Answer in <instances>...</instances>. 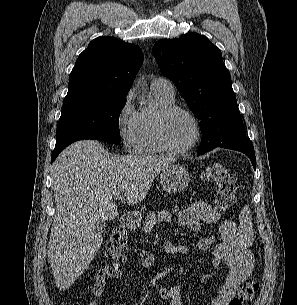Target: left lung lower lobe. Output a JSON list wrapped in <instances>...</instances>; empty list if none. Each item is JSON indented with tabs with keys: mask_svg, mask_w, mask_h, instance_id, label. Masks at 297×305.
Returning <instances> with one entry per match:
<instances>
[{
	"mask_svg": "<svg viewBox=\"0 0 297 305\" xmlns=\"http://www.w3.org/2000/svg\"><path fill=\"white\" fill-rule=\"evenodd\" d=\"M216 147L232 149V150L240 151V152L246 154L250 158L254 169H256V158H255L254 148H253L252 143L250 142V139L246 135H241V136L235 137L231 140H228V141H225V142L219 144ZM216 147L206 148L202 151H199L198 154L199 155L204 154Z\"/></svg>",
	"mask_w": 297,
	"mask_h": 305,
	"instance_id": "0a47b994",
	"label": "left lung lower lobe"
}]
</instances>
